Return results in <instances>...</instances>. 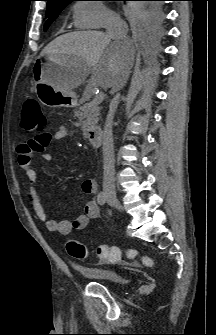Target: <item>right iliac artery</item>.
Masks as SVG:
<instances>
[{
	"label": "right iliac artery",
	"instance_id": "right-iliac-artery-1",
	"mask_svg": "<svg viewBox=\"0 0 216 335\" xmlns=\"http://www.w3.org/2000/svg\"><path fill=\"white\" fill-rule=\"evenodd\" d=\"M97 201L100 205H104L106 203V195L104 192H100L98 194Z\"/></svg>",
	"mask_w": 216,
	"mask_h": 335
}]
</instances>
